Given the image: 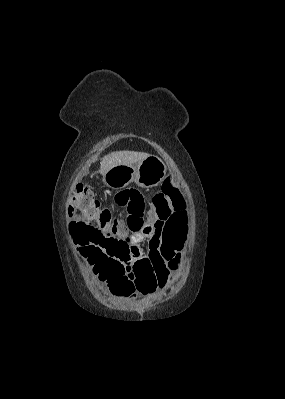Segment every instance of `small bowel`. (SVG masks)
Returning <instances> with one entry per match:
<instances>
[{
	"label": "small bowel",
	"instance_id": "small-bowel-1",
	"mask_svg": "<svg viewBox=\"0 0 285 399\" xmlns=\"http://www.w3.org/2000/svg\"><path fill=\"white\" fill-rule=\"evenodd\" d=\"M147 219L148 220L145 223L142 231L139 234L135 235L136 239H145L149 242V249L147 251H144L143 249L138 247L137 253L141 257H148L150 251L154 250V249H159L162 242L164 241L162 231H159L156 228V224L161 222L156 211H154V210L149 211ZM188 227H189V221L187 219H185L178 225L174 226L173 230L180 231V232H183L186 234ZM119 232L122 235L126 234V232L124 230H119ZM89 265L93 268L94 271H97V272H106L109 268H111V266L107 263H97V262L90 263L89 262ZM125 278L126 279L130 278V273H129L127 265H125L123 272H121L119 274L118 281L120 282ZM166 284H167V280H165L161 283V287L165 288ZM109 291L115 298H118V299L127 298V296H125V295L113 293L110 289H109ZM145 294H147V293H145Z\"/></svg>",
	"mask_w": 285,
	"mask_h": 399
}]
</instances>
